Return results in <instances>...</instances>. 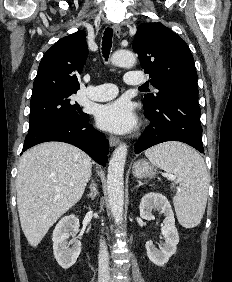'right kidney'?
<instances>
[{
  "instance_id": "obj_1",
  "label": "right kidney",
  "mask_w": 232,
  "mask_h": 282,
  "mask_svg": "<svg viewBox=\"0 0 232 282\" xmlns=\"http://www.w3.org/2000/svg\"><path fill=\"white\" fill-rule=\"evenodd\" d=\"M79 226V219L75 215H68L57 223L53 231L54 256L63 269L74 265L81 252V242L76 238ZM70 236L72 239L68 241Z\"/></svg>"
}]
</instances>
